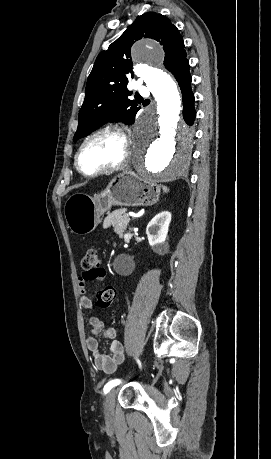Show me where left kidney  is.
Wrapping results in <instances>:
<instances>
[{"label": "left kidney", "mask_w": 271, "mask_h": 459, "mask_svg": "<svg viewBox=\"0 0 271 459\" xmlns=\"http://www.w3.org/2000/svg\"><path fill=\"white\" fill-rule=\"evenodd\" d=\"M170 222V212H160V214L154 216L151 222H149L146 233L148 241L154 251H162V249L168 247L165 239L167 237Z\"/></svg>", "instance_id": "5707ae66"}]
</instances>
